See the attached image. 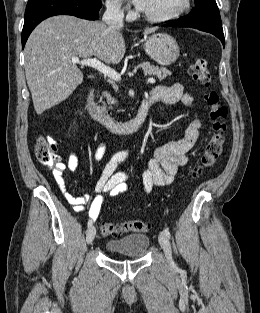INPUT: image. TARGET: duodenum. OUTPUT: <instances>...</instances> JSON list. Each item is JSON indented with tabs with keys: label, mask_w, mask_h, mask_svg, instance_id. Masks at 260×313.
Listing matches in <instances>:
<instances>
[{
	"label": "duodenum",
	"mask_w": 260,
	"mask_h": 313,
	"mask_svg": "<svg viewBox=\"0 0 260 313\" xmlns=\"http://www.w3.org/2000/svg\"><path fill=\"white\" fill-rule=\"evenodd\" d=\"M95 88L88 90L85 97V108L89 114L98 122L108 126L116 133L134 134L142 128L150 105L153 103L151 98L144 99L138 107L135 117L128 121H118L111 116L104 108L99 107L95 102Z\"/></svg>",
	"instance_id": "410a0bca"
}]
</instances>
